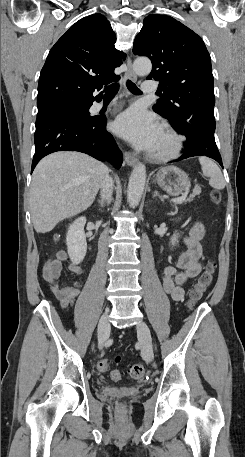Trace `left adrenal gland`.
Masks as SVG:
<instances>
[{
	"instance_id": "1",
	"label": "left adrenal gland",
	"mask_w": 245,
	"mask_h": 457,
	"mask_svg": "<svg viewBox=\"0 0 245 457\" xmlns=\"http://www.w3.org/2000/svg\"><path fill=\"white\" fill-rule=\"evenodd\" d=\"M153 196H159V198H161V200H164L163 196H161V194H159L158 190H154Z\"/></svg>"
}]
</instances>
